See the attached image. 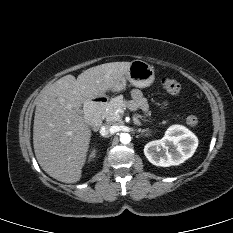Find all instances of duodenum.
I'll list each match as a JSON object with an SVG mask.
<instances>
[{
  "mask_svg": "<svg viewBox=\"0 0 233 233\" xmlns=\"http://www.w3.org/2000/svg\"><path fill=\"white\" fill-rule=\"evenodd\" d=\"M104 99L99 98L89 103L85 108L86 122L93 128L101 124V111L104 106Z\"/></svg>",
  "mask_w": 233,
  "mask_h": 233,
  "instance_id": "obj_1",
  "label": "duodenum"
}]
</instances>
